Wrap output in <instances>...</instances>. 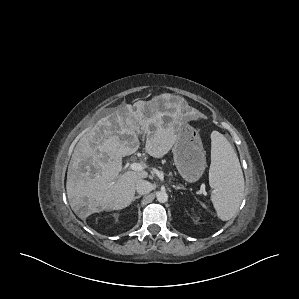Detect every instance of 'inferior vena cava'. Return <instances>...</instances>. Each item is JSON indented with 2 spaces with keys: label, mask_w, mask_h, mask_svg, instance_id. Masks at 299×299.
<instances>
[{
  "label": "inferior vena cava",
  "mask_w": 299,
  "mask_h": 299,
  "mask_svg": "<svg viewBox=\"0 0 299 299\" xmlns=\"http://www.w3.org/2000/svg\"><path fill=\"white\" fill-rule=\"evenodd\" d=\"M153 189H154L153 184L144 179H140L136 183V191L140 195L147 194L151 192Z\"/></svg>",
  "instance_id": "602c4592"
}]
</instances>
